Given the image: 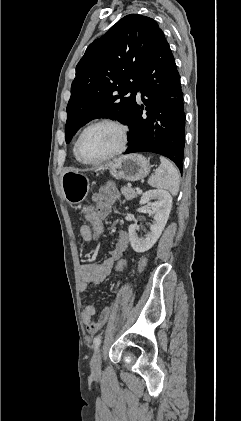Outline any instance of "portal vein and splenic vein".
Instances as JSON below:
<instances>
[{
    "label": "portal vein and splenic vein",
    "mask_w": 241,
    "mask_h": 421,
    "mask_svg": "<svg viewBox=\"0 0 241 421\" xmlns=\"http://www.w3.org/2000/svg\"><path fill=\"white\" fill-rule=\"evenodd\" d=\"M137 193L138 194H141L142 193V190L141 189H137Z\"/></svg>",
    "instance_id": "obj_1"
}]
</instances>
